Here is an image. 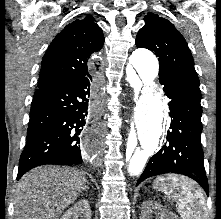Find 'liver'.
<instances>
[{"label":"liver","mask_w":221,"mask_h":219,"mask_svg":"<svg viewBox=\"0 0 221 219\" xmlns=\"http://www.w3.org/2000/svg\"><path fill=\"white\" fill-rule=\"evenodd\" d=\"M87 183L84 173L74 168H35L16 185L15 219H59Z\"/></svg>","instance_id":"6515ba94"}]
</instances>
